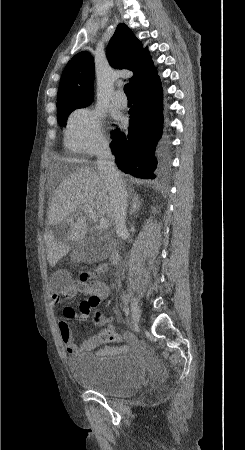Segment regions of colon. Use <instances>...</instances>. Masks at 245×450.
Segmentation results:
<instances>
[{
	"instance_id": "5ec220e1",
	"label": "colon",
	"mask_w": 245,
	"mask_h": 450,
	"mask_svg": "<svg viewBox=\"0 0 245 450\" xmlns=\"http://www.w3.org/2000/svg\"><path fill=\"white\" fill-rule=\"evenodd\" d=\"M74 286L77 291L91 295L94 291V285L92 283V273L90 272H83L79 274L75 280H74ZM98 303V300H95L92 298H88L83 302V308L87 311H91L94 306H96ZM64 315L68 318H77V314L71 310V309H64L63 311ZM95 321L104 326V329L98 334L99 339L102 342H113V341H119L120 336L115 333L112 329L106 327V325L110 322V318L105 317L99 312L95 313L94 316Z\"/></svg>"
}]
</instances>
